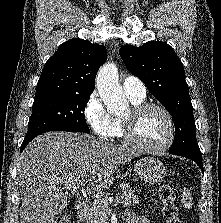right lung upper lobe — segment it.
<instances>
[{
    "mask_svg": "<svg viewBox=\"0 0 221 223\" xmlns=\"http://www.w3.org/2000/svg\"><path fill=\"white\" fill-rule=\"evenodd\" d=\"M106 58L104 46L79 38L64 42L46 62L37 83L35 100L91 94L95 88L96 73Z\"/></svg>",
    "mask_w": 221,
    "mask_h": 223,
    "instance_id": "obj_1",
    "label": "right lung upper lobe"
}]
</instances>
